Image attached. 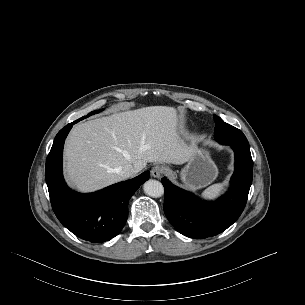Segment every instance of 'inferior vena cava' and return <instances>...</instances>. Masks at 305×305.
I'll return each instance as SVG.
<instances>
[{"mask_svg": "<svg viewBox=\"0 0 305 305\" xmlns=\"http://www.w3.org/2000/svg\"><path fill=\"white\" fill-rule=\"evenodd\" d=\"M140 170V168H135L132 165L128 164L123 167H118L116 173L123 179L129 178Z\"/></svg>", "mask_w": 305, "mask_h": 305, "instance_id": "602c4592", "label": "inferior vena cava"}]
</instances>
